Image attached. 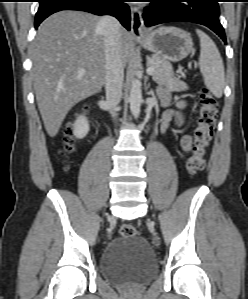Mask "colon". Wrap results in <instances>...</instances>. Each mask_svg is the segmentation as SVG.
Returning <instances> with one entry per match:
<instances>
[{"label": "colon", "mask_w": 248, "mask_h": 299, "mask_svg": "<svg viewBox=\"0 0 248 299\" xmlns=\"http://www.w3.org/2000/svg\"><path fill=\"white\" fill-rule=\"evenodd\" d=\"M87 110L88 107L83 108V111ZM217 113L218 104L216 98L207 89H202L199 94V112L193 134L192 150L186 162V169L191 175L198 174L204 168V157L212 137ZM73 129V125L67 127L69 135L73 132ZM73 149L74 140L69 136L61 147V154L63 156H68ZM119 232L123 237H133L137 235L136 228L130 224L122 225Z\"/></svg>", "instance_id": "5ec220e1"}]
</instances>
